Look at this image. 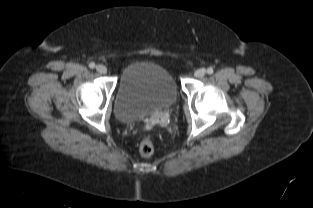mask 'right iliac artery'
<instances>
[{
  "instance_id": "1",
  "label": "right iliac artery",
  "mask_w": 313,
  "mask_h": 208,
  "mask_svg": "<svg viewBox=\"0 0 313 208\" xmlns=\"http://www.w3.org/2000/svg\"><path fill=\"white\" fill-rule=\"evenodd\" d=\"M89 67H90V68H94V67H95V63H94V62H91V63L89 64Z\"/></svg>"
}]
</instances>
